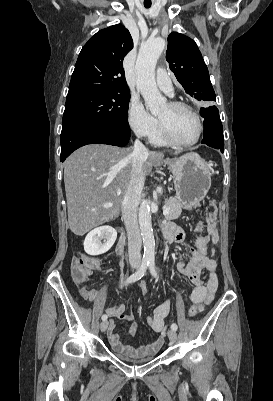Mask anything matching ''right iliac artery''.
I'll list each match as a JSON object with an SVG mask.
<instances>
[{
	"mask_svg": "<svg viewBox=\"0 0 273 401\" xmlns=\"http://www.w3.org/2000/svg\"><path fill=\"white\" fill-rule=\"evenodd\" d=\"M149 260H150V258H143L140 268L137 270V272H135L129 278H127V280L125 281V284H129V283H132V282H135V281L141 279L147 270V266L149 265ZM106 319H107V315L104 314L102 316V320L105 321Z\"/></svg>",
	"mask_w": 273,
	"mask_h": 401,
	"instance_id": "82829eb1",
	"label": "right iliac artery"
}]
</instances>
